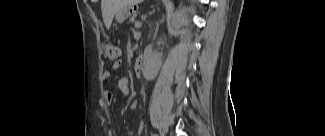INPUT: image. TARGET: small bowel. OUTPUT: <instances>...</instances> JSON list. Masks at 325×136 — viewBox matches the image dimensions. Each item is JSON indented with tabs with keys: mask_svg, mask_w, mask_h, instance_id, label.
Returning a JSON list of instances; mask_svg holds the SVG:
<instances>
[{
	"mask_svg": "<svg viewBox=\"0 0 325 136\" xmlns=\"http://www.w3.org/2000/svg\"><path fill=\"white\" fill-rule=\"evenodd\" d=\"M119 67L118 63H115L113 65L114 69H117ZM104 81H108L111 79V72L110 71H105L103 76H102ZM117 88L121 92L122 95L124 96H129L130 95V87H129V80L127 77L123 76L120 77L117 81ZM103 98L104 101L110 105L114 102L115 97L114 94L111 90H105L103 93Z\"/></svg>",
	"mask_w": 325,
	"mask_h": 136,
	"instance_id": "1",
	"label": "small bowel"
}]
</instances>
